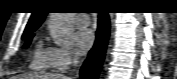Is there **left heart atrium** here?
<instances>
[{
	"mask_svg": "<svg viewBox=\"0 0 177 79\" xmlns=\"http://www.w3.org/2000/svg\"><path fill=\"white\" fill-rule=\"evenodd\" d=\"M95 35L91 29H80L75 35V45L80 55H85L94 45Z\"/></svg>",
	"mask_w": 177,
	"mask_h": 79,
	"instance_id": "obj_1",
	"label": "left heart atrium"
}]
</instances>
